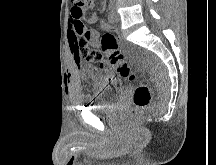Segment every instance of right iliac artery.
Wrapping results in <instances>:
<instances>
[{"instance_id": "obj_1", "label": "right iliac artery", "mask_w": 216, "mask_h": 165, "mask_svg": "<svg viewBox=\"0 0 216 165\" xmlns=\"http://www.w3.org/2000/svg\"><path fill=\"white\" fill-rule=\"evenodd\" d=\"M108 20L111 24L114 23V14L112 12H109V15H108Z\"/></svg>"}]
</instances>
